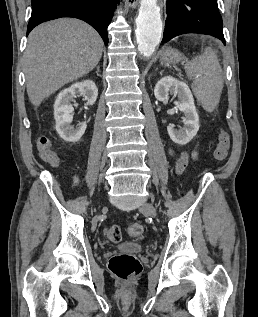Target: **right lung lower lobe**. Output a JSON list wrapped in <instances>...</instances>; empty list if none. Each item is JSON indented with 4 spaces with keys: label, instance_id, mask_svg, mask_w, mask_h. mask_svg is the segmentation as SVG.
<instances>
[{
    "label": "right lung lower lobe",
    "instance_id": "98d812e1",
    "mask_svg": "<svg viewBox=\"0 0 258 317\" xmlns=\"http://www.w3.org/2000/svg\"><path fill=\"white\" fill-rule=\"evenodd\" d=\"M119 0H31L32 15L27 35L37 25L61 18L74 17L94 27L108 44L107 27Z\"/></svg>",
    "mask_w": 258,
    "mask_h": 317
}]
</instances>
